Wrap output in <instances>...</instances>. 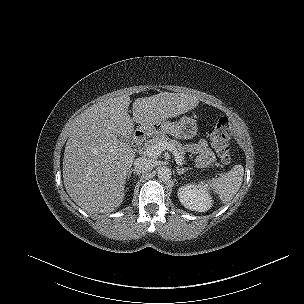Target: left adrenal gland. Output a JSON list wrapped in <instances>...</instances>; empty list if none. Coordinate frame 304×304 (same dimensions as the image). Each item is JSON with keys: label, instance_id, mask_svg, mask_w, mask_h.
I'll use <instances>...</instances> for the list:
<instances>
[{"label": "left adrenal gland", "instance_id": "obj_1", "mask_svg": "<svg viewBox=\"0 0 304 304\" xmlns=\"http://www.w3.org/2000/svg\"><path fill=\"white\" fill-rule=\"evenodd\" d=\"M188 170H190V168H177L176 171L178 173V175H182L184 174L185 172H187Z\"/></svg>", "mask_w": 304, "mask_h": 304}]
</instances>
